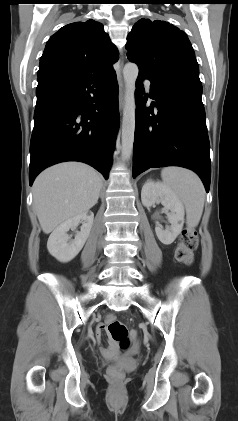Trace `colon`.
<instances>
[{"instance_id": "5ec220e1", "label": "colon", "mask_w": 238, "mask_h": 421, "mask_svg": "<svg viewBox=\"0 0 238 421\" xmlns=\"http://www.w3.org/2000/svg\"><path fill=\"white\" fill-rule=\"evenodd\" d=\"M198 246V236L195 230L184 229L180 235L178 246L175 250V259L183 264L190 265L194 259V251ZM105 329L111 338L118 343L120 349L126 351L130 348L129 331L125 324L114 316L108 317ZM108 375L114 382H120L124 378V373L118 366H110Z\"/></svg>"}]
</instances>
